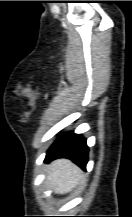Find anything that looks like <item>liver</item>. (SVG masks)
<instances>
[{"instance_id":"6515ba94","label":"liver","mask_w":132,"mask_h":217,"mask_svg":"<svg viewBox=\"0 0 132 217\" xmlns=\"http://www.w3.org/2000/svg\"><path fill=\"white\" fill-rule=\"evenodd\" d=\"M82 170L68 159H57L46 171V182L56 194L71 192L82 180Z\"/></svg>"}]
</instances>
